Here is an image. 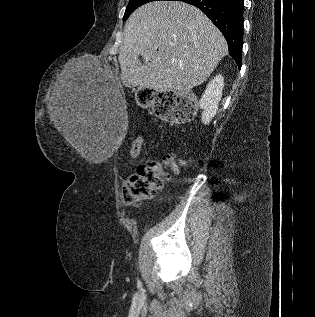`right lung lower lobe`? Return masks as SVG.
I'll use <instances>...</instances> for the list:
<instances>
[{
  "mask_svg": "<svg viewBox=\"0 0 315 317\" xmlns=\"http://www.w3.org/2000/svg\"><path fill=\"white\" fill-rule=\"evenodd\" d=\"M202 10L223 33L229 54L241 68L243 46V0H177Z\"/></svg>",
  "mask_w": 315,
  "mask_h": 317,
  "instance_id": "98d812e1",
  "label": "right lung lower lobe"
}]
</instances>
